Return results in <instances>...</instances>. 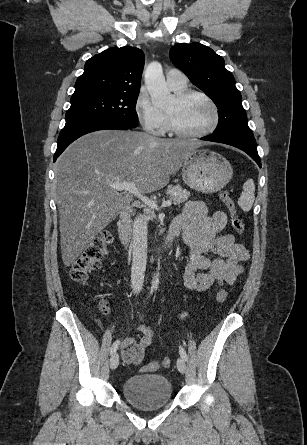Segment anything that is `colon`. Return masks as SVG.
I'll return each mask as SVG.
<instances>
[{"instance_id": "colon-1", "label": "colon", "mask_w": 307, "mask_h": 445, "mask_svg": "<svg viewBox=\"0 0 307 445\" xmlns=\"http://www.w3.org/2000/svg\"><path fill=\"white\" fill-rule=\"evenodd\" d=\"M220 199L227 207L231 219L232 227L238 233L242 234L245 231L244 222L237 216V210L234 200L227 191L220 193ZM112 241V234L110 231H103L84 249V251L76 258L71 268V277L75 282L84 284L88 281L90 275L96 271L100 265L103 257L108 252V247ZM218 303H223L227 298V292L224 288L217 292ZM101 309L107 312V306L101 305ZM171 359L168 357L162 358L158 361H153L144 366L142 371H155L159 368H169L171 366Z\"/></svg>"}]
</instances>
